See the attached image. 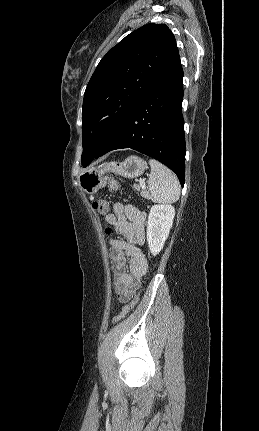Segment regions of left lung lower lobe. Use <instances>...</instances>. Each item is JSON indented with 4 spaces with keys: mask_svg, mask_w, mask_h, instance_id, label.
Here are the masks:
<instances>
[{
    "mask_svg": "<svg viewBox=\"0 0 259 431\" xmlns=\"http://www.w3.org/2000/svg\"><path fill=\"white\" fill-rule=\"evenodd\" d=\"M183 70L178 56L152 89L127 113L95 158L131 148L165 164L185 181L182 116Z\"/></svg>",
    "mask_w": 259,
    "mask_h": 431,
    "instance_id": "obj_1",
    "label": "left lung lower lobe"
}]
</instances>
